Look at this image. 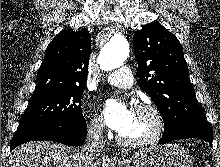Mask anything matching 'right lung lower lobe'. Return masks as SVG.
Here are the masks:
<instances>
[{"label":"right lung lower lobe","instance_id":"98d812e1","mask_svg":"<svg viewBox=\"0 0 220 167\" xmlns=\"http://www.w3.org/2000/svg\"><path fill=\"white\" fill-rule=\"evenodd\" d=\"M86 122L75 125L55 126L45 125L36 128L17 130L11 141V149L30 140H48L60 142L69 146H79L86 138Z\"/></svg>","mask_w":220,"mask_h":167}]
</instances>
